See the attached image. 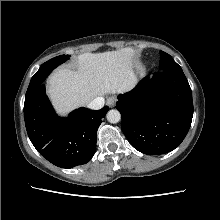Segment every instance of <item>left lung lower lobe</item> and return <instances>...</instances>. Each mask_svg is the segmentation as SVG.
<instances>
[{"label":"left lung lower lobe","mask_w":220,"mask_h":220,"mask_svg":"<svg viewBox=\"0 0 220 220\" xmlns=\"http://www.w3.org/2000/svg\"><path fill=\"white\" fill-rule=\"evenodd\" d=\"M121 129L138 151L157 155L177 148L193 117V100L182 70H166L144 78L136 88L118 95Z\"/></svg>","instance_id":"left-lung-lower-lobe-1"}]
</instances>
